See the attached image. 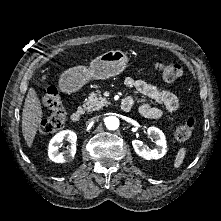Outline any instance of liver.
<instances>
[{
    "label": "liver",
    "instance_id": "1",
    "mask_svg": "<svg viewBox=\"0 0 221 221\" xmlns=\"http://www.w3.org/2000/svg\"><path fill=\"white\" fill-rule=\"evenodd\" d=\"M42 106L33 88L28 90L23 113H22V132L24 139L29 147L32 146L33 140L42 121Z\"/></svg>",
    "mask_w": 221,
    "mask_h": 221
}]
</instances>
